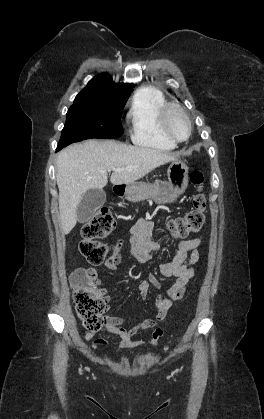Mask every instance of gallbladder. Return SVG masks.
Instances as JSON below:
<instances>
[{
    "label": "gallbladder",
    "instance_id": "bac80fb5",
    "mask_svg": "<svg viewBox=\"0 0 264 419\" xmlns=\"http://www.w3.org/2000/svg\"><path fill=\"white\" fill-rule=\"evenodd\" d=\"M106 201V194L102 189H89L83 194L77 208V217L80 223H85L91 219L97 209Z\"/></svg>",
    "mask_w": 264,
    "mask_h": 419
}]
</instances>
